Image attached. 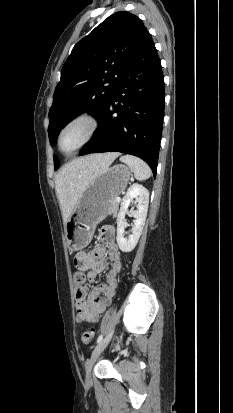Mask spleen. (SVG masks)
<instances>
[{"mask_svg":"<svg viewBox=\"0 0 233 413\" xmlns=\"http://www.w3.org/2000/svg\"><path fill=\"white\" fill-rule=\"evenodd\" d=\"M120 161L126 163L130 167L137 180H146L151 176V169L140 158L131 155H124L120 158Z\"/></svg>","mask_w":233,"mask_h":413,"instance_id":"3e777b00","label":"spleen"}]
</instances>
